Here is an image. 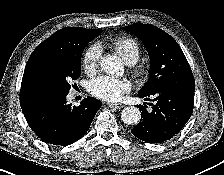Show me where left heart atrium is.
Masks as SVG:
<instances>
[{"mask_svg": "<svg viewBox=\"0 0 224 175\" xmlns=\"http://www.w3.org/2000/svg\"><path fill=\"white\" fill-rule=\"evenodd\" d=\"M131 90V84L127 80H120L108 76L93 79L89 84V92L106 101H117Z\"/></svg>", "mask_w": 224, "mask_h": 175, "instance_id": "39dd6f15", "label": "left heart atrium"}]
</instances>
